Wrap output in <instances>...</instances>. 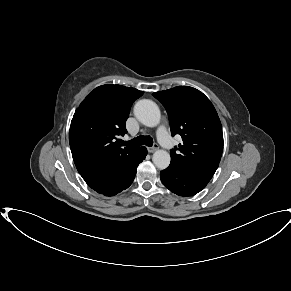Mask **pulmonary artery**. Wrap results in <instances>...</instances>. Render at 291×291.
Instances as JSON below:
<instances>
[{
  "instance_id": "obj_1",
  "label": "pulmonary artery",
  "mask_w": 291,
  "mask_h": 291,
  "mask_svg": "<svg viewBox=\"0 0 291 291\" xmlns=\"http://www.w3.org/2000/svg\"><path fill=\"white\" fill-rule=\"evenodd\" d=\"M157 138L159 143L166 150H172L175 146L174 140L171 138L167 129L164 126H161L157 131Z\"/></svg>"
}]
</instances>
